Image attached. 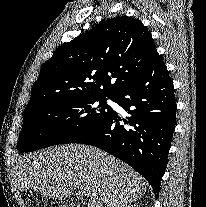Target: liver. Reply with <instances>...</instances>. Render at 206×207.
I'll list each match as a JSON object with an SVG mask.
<instances>
[{
	"instance_id": "1",
	"label": "liver",
	"mask_w": 206,
	"mask_h": 207,
	"mask_svg": "<svg viewBox=\"0 0 206 207\" xmlns=\"http://www.w3.org/2000/svg\"><path fill=\"white\" fill-rule=\"evenodd\" d=\"M20 190L33 189L59 201L74 190L88 207H123L146 193L144 179L130 166L98 148L69 144L24 156L16 166Z\"/></svg>"
}]
</instances>
